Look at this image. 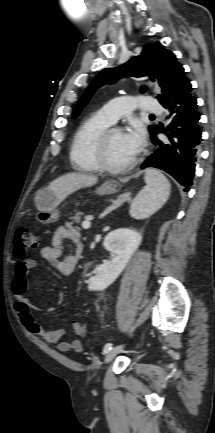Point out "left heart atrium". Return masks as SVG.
<instances>
[{
	"label": "left heart atrium",
	"mask_w": 215,
	"mask_h": 433,
	"mask_svg": "<svg viewBox=\"0 0 215 433\" xmlns=\"http://www.w3.org/2000/svg\"><path fill=\"white\" fill-rule=\"evenodd\" d=\"M126 145L133 155H136L143 146L144 132L138 125H134L129 131L124 133Z\"/></svg>",
	"instance_id": "1"
}]
</instances>
